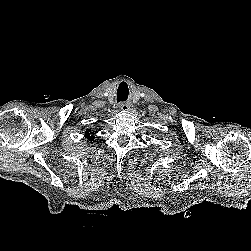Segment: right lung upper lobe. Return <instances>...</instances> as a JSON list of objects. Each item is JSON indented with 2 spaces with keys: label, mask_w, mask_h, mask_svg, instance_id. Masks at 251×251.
<instances>
[{
  "label": "right lung upper lobe",
  "mask_w": 251,
  "mask_h": 251,
  "mask_svg": "<svg viewBox=\"0 0 251 251\" xmlns=\"http://www.w3.org/2000/svg\"><path fill=\"white\" fill-rule=\"evenodd\" d=\"M90 131H91V130H87V131L85 132V137H86L88 140L92 141V140L94 139V136H90V134H92V133H90Z\"/></svg>",
  "instance_id": "cb5924a9"
}]
</instances>
